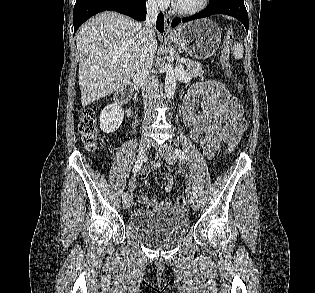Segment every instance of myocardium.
<instances>
[{
	"mask_svg": "<svg viewBox=\"0 0 315 293\" xmlns=\"http://www.w3.org/2000/svg\"><path fill=\"white\" fill-rule=\"evenodd\" d=\"M210 0H201V3L194 7V8H182L180 7L175 0L172 1V7L175 12L181 14V15H194L197 13L202 12L209 4Z\"/></svg>",
	"mask_w": 315,
	"mask_h": 293,
	"instance_id": "myocardium-1",
	"label": "myocardium"
}]
</instances>
